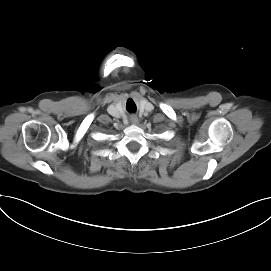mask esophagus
I'll use <instances>...</instances> for the list:
<instances>
[{"instance_id": "34e87169", "label": "esophagus", "mask_w": 271, "mask_h": 271, "mask_svg": "<svg viewBox=\"0 0 271 271\" xmlns=\"http://www.w3.org/2000/svg\"><path fill=\"white\" fill-rule=\"evenodd\" d=\"M130 120H131V122H132L133 124H136V123L138 122V119H137L136 116H132Z\"/></svg>"}]
</instances>
